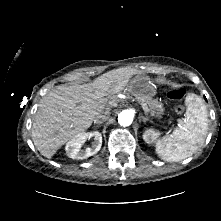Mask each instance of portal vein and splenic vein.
Returning a JSON list of instances; mask_svg holds the SVG:
<instances>
[{
    "label": "portal vein and splenic vein",
    "mask_w": 221,
    "mask_h": 221,
    "mask_svg": "<svg viewBox=\"0 0 221 221\" xmlns=\"http://www.w3.org/2000/svg\"><path fill=\"white\" fill-rule=\"evenodd\" d=\"M140 103V102H139ZM140 105L142 106L143 110L145 113H148L149 112V108L148 106L145 104V103H140Z\"/></svg>",
    "instance_id": "portal-vein-and-splenic-vein-1"
}]
</instances>
